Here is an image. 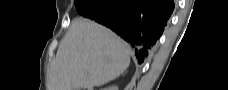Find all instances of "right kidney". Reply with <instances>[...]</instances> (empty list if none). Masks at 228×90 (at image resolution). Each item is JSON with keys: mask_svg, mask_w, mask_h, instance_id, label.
<instances>
[{"mask_svg": "<svg viewBox=\"0 0 228 90\" xmlns=\"http://www.w3.org/2000/svg\"><path fill=\"white\" fill-rule=\"evenodd\" d=\"M105 90H118L117 86H109L108 88H105Z\"/></svg>", "mask_w": 228, "mask_h": 90, "instance_id": "right-kidney-1", "label": "right kidney"}]
</instances>
